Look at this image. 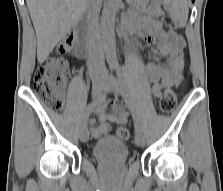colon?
Listing matches in <instances>:
<instances>
[{
    "label": "colon",
    "instance_id": "colon-1",
    "mask_svg": "<svg viewBox=\"0 0 223 191\" xmlns=\"http://www.w3.org/2000/svg\"><path fill=\"white\" fill-rule=\"evenodd\" d=\"M164 24L168 29L175 30L177 23L171 17L164 18ZM75 44V37L67 35L60 43L58 50L69 52ZM68 71V63L64 58L51 57L46 63L40 65L33 76V87L36 94L55 110H62L64 107V81ZM177 104L176 94L173 90L167 89L159 101V111L163 114L173 112ZM116 136L127 140L130 132L125 127L116 130Z\"/></svg>",
    "mask_w": 223,
    "mask_h": 191
}]
</instances>
